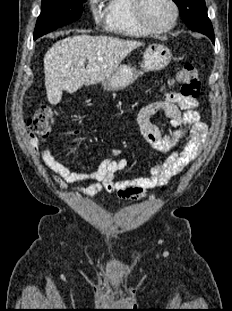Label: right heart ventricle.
I'll use <instances>...</instances> for the list:
<instances>
[{
    "instance_id": "e07e8e85",
    "label": "right heart ventricle",
    "mask_w": 232,
    "mask_h": 311,
    "mask_svg": "<svg viewBox=\"0 0 232 311\" xmlns=\"http://www.w3.org/2000/svg\"><path fill=\"white\" fill-rule=\"evenodd\" d=\"M107 30L126 37H143L149 34L136 21L133 0H107L104 13Z\"/></svg>"
}]
</instances>
